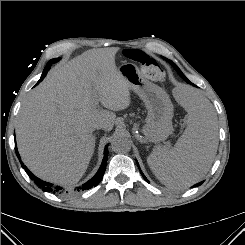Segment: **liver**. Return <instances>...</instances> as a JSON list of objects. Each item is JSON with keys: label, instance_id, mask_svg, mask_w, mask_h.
<instances>
[{"label": "liver", "instance_id": "1", "mask_svg": "<svg viewBox=\"0 0 245 245\" xmlns=\"http://www.w3.org/2000/svg\"><path fill=\"white\" fill-rule=\"evenodd\" d=\"M119 48L91 49L50 71L23 102L16 122L19 153L39 178L77 183L94 153L96 124L112 130L131 103L115 64ZM108 110L97 109L98 104Z\"/></svg>", "mask_w": 245, "mask_h": 245}]
</instances>
